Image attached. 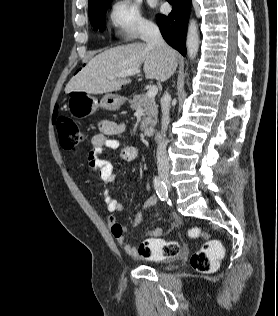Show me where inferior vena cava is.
Wrapping results in <instances>:
<instances>
[{
  "label": "inferior vena cava",
  "mask_w": 278,
  "mask_h": 316,
  "mask_svg": "<svg viewBox=\"0 0 278 316\" xmlns=\"http://www.w3.org/2000/svg\"><path fill=\"white\" fill-rule=\"evenodd\" d=\"M142 39L149 46L158 47L165 55H168L170 48L165 43L160 33V30L157 25L152 22H146L142 28ZM170 95L166 91L161 98V111H162V119H161V128L165 133L169 124V111H170ZM167 142L165 140L159 142L157 146V167L158 172H168L169 171V159L167 157L166 152Z\"/></svg>",
  "instance_id": "602c4592"
}]
</instances>
